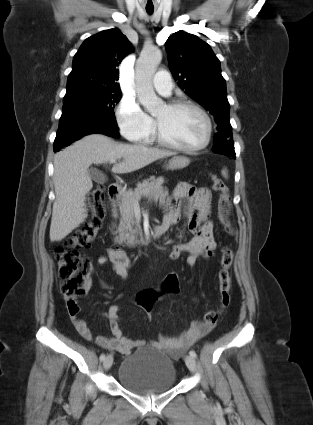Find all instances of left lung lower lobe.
I'll return each instance as SVG.
<instances>
[{"instance_id": "obj_1", "label": "left lung lower lobe", "mask_w": 313, "mask_h": 425, "mask_svg": "<svg viewBox=\"0 0 313 425\" xmlns=\"http://www.w3.org/2000/svg\"><path fill=\"white\" fill-rule=\"evenodd\" d=\"M233 142L231 131H221L216 134L213 150L217 154L231 155L235 157V152H224L223 147H228L229 143Z\"/></svg>"}]
</instances>
